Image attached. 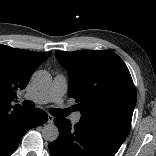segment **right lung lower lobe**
Here are the masks:
<instances>
[{"label": "right lung lower lobe", "instance_id": "98d812e1", "mask_svg": "<svg viewBox=\"0 0 156 156\" xmlns=\"http://www.w3.org/2000/svg\"><path fill=\"white\" fill-rule=\"evenodd\" d=\"M47 113L41 109H0V156H10L22 136L31 128L44 124Z\"/></svg>", "mask_w": 156, "mask_h": 156}]
</instances>
